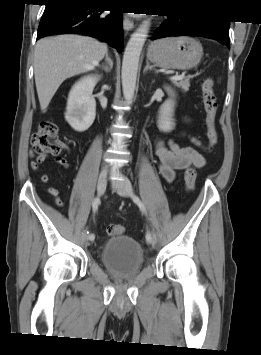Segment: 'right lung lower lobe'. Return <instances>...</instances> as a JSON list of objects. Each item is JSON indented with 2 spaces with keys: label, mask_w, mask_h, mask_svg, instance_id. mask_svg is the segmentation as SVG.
<instances>
[{
  "label": "right lung lower lobe",
  "mask_w": 261,
  "mask_h": 355,
  "mask_svg": "<svg viewBox=\"0 0 261 355\" xmlns=\"http://www.w3.org/2000/svg\"><path fill=\"white\" fill-rule=\"evenodd\" d=\"M45 6L37 39L56 33H80L102 39L118 51L123 49L121 12L102 14L98 4L86 0H45Z\"/></svg>",
  "instance_id": "right-lung-lower-lobe-1"
}]
</instances>
